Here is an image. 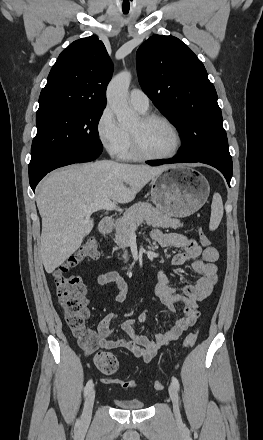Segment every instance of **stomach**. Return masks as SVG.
I'll list each match as a JSON object with an SVG mask.
<instances>
[{"label":"stomach","instance_id":"0dacf381","mask_svg":"<svg viewBox=\"0 0 263 440\" xmlns=\"http://www.w3.org/2000/svg\"><path fill=\"white\" fill-rule=\"evenodd\" d=\"M210 193L207 179L195 169L173 166L152 183L151 200L164 214L184 218L198 211Z\"/></svg>","mask_w":263,"mask_h":440}]
</instances>
